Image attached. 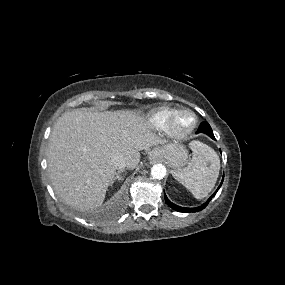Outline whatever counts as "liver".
<instances>
[{
  "label": "liver",
  "instance_id": "1",
  "mask_svg": "<svg viewBox=\"0 0 285 285\" xmlns=\"http://www.w3.org/2000/svg\"><path fill=\"white\" fill-rule=\"evenodd\" d=\"M164 143L133 110L66 112L56 121L49 139L51 183L66 204L95 210L115 178V157L125 158L127 167L134 169L140 161L139 151Z\"/></svg>",
  "mask_w": 285,
  "mask_h": 285
}]
</instances>
